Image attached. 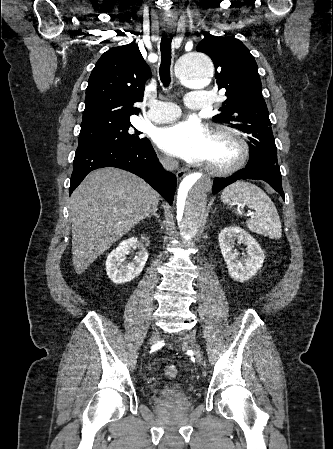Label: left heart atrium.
Instances as JSON below:
<instances>
[{"label": "left heart atrium", "mask_w": 333, "mask_h": 449, "mask_svg": "<svg viewBox=\"0 0 333 449\" xmlns=\"http://www.w3.org/2000/svg\"><path fill=\"white\" fill-rule=\"evenodd\" d=\"M211 135L207 128L196 120H185L159 129L156 144L167 154L184 161H204Z\"/></svg>", "instance_id": "39dd6f15"}]
</instances>
